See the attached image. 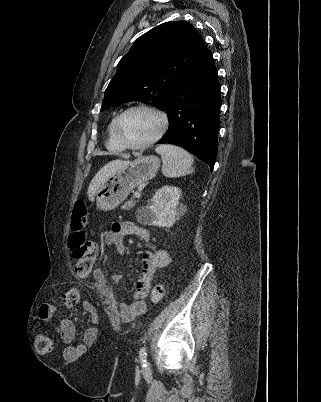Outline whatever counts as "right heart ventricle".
Segmentation results:
<instances>
[{
  "label": "right heart ventricle",
  "instance_id": "1",
  "mask_svg": "<svg viewBox=\"0 0 321 402\" xmlns=\"http://www.w3.org/2000/svg\"><path fill=\"white\" fill-rule=\"evenodd\" d=\"M115 119H116V117L112 118L107 126V138H106L105 146L108 150L117 154V153H121L124 150V148L120 145V143L116 139V136L114 133Z\"/></svg>",
  "mask_w": 321,
  "mask_h": 402
}]
</instances>
